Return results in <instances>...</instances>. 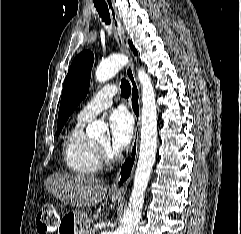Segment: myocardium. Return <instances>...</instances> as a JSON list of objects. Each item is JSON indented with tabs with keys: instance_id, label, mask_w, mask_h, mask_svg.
Returning <instances> with one entry per match:
<instances>
[{
	"instance_id": "myocardium-1",
	"label": "myocardium",
	"mask_w": 241,
	"mask_h": 234,
	"mask_svg": "<svg viewBox=\"0 0 241 234\" xmlns=\"http://www.w3.org/2000/svg\"><path fill=\"white\" fill-rule=\"evenodd\" d=\"M98 155L102 163H112L116 160V155L111 152L108 146L96 143Z\"/></svg>"
}]
</instances>
